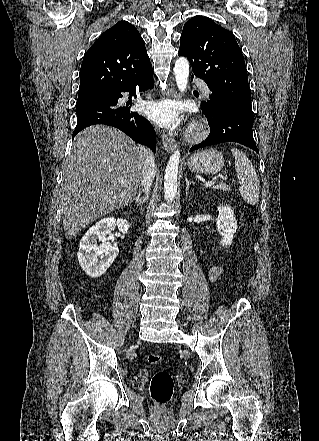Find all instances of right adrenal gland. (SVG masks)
<instances>
[{"mask_svg":"<svg viewBox=\"0 0 319 441\" xmlns=\"http://www.w3.org/2000/svg\"><path fill=\"white\" fill-rule=\"evenodd\" d=\"M147 198L148 197L145 193L141 196V192H139V194L133 199V201H135L138 206H143V204H145V202L147 201Z\"/></svg>","mask_w":319,"mask_h":441,"instance_id":"1","label":"right adrenal gland"}]
</instances>
